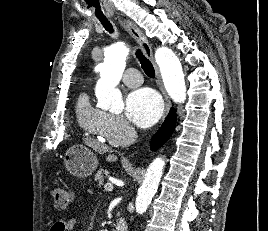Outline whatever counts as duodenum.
Segmentation results:
<instances>
[{"mask_svg": "<svg viewBox=\"0 0 268 231\" xmlns=\"http://www.w3.org/2000/svg\"><path fill=\"white\" fill-rule=\"evenodd\" d=\"M114 231H128L127 223L124 219H119Z\"/></svg>", "mask_w": 268, "mask_h": 231, "instance_id": "obj_1", "label": "duodenum"}]
</instances>
